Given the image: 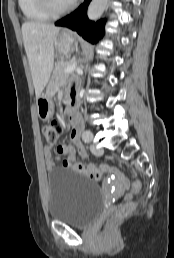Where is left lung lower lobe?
Returning a JSON list of instances; mask_svg holds the SVG:
<instances>
[{
    "label": "left lung lower lobe",
    "mask_w": 174,
    "mask_h": 258,
    "mask_svg": "<svg viewBox=\"0 0 174 258\" xmlns=\"http://www.w3.org/2000/svg\"><path fill=\"white\" fill-rule=\"evenodd\" d=\"M90 1L91 0H84V3L77 10L57 21L55 25L75 30L87 41L97 43L104 35L105 21L101 20L96 23L89 21L87 17V7Z\"/></svg>",
    "instance_id": "left-lung-lower-lobe-1"
}]
</instances>
